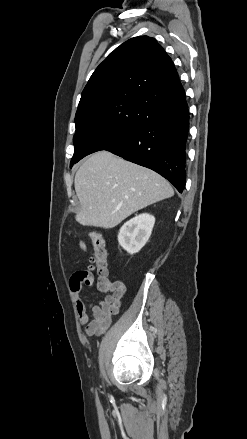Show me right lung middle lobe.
<instances>
[{
	"label": "right lung middle lobe",
	"mask_w": 247,
	"mask_h": 439,
	"mask_svg": "<svg viewBox=\"0 0 247 439\" xmlns=\"http://www.w3.org/2000/svg\"><path fill=\"white\" fill-rule=\"evenodd\" d=\"M150 109L129 100H113L76 114L74 155L70 166L93 152L106 150L131 133Z\"/></svg>",
	"instance_id": "dd1d6c3e"
}]
</instances>
